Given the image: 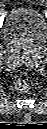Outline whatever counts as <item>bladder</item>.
<instances>
[{"instance_id":"bladder-1","label":"bladder","mask_w":47,"mask_h":129,"mask_svg":"<svg viewBox=\"0 0 47 129\" xmlns=\"http://www.w3.org/2000/svg\"><path fill=\"white\" fill-rule=\"evenodd\" d=\"M46 31L44 14L33 6H20L13 9L3 24V39L11 46L38 43Z\"/></svg>"}]
</instances>
